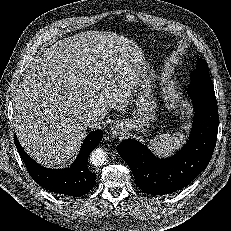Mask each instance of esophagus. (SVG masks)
<instances>
[{"mask_svg": "<svg viewBox=\"0 0 231 231\" xmlns=\"http://www.w3.org/2000/svg\"><path fill=\"white\" fill-rule=\"evenodd\" d=\"M119 131H120V128L118 127V125H115L113 134L117 135V134H119Z\"/></svg>", "mask_w": 231, "mask_h": 231, "instance_id": "1", "label": "esophagus"}]
</instances>
